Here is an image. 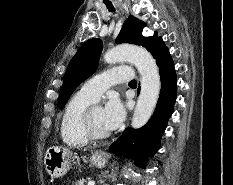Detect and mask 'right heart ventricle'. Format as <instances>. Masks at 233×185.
Here are the masks:
<instances>
[{"mask_svg": "<svg viewBox=\"0 0 233 185\" xmlns=\"http://www.w3.org/2000/svg\"><path fill=\"white\" fill-rule=\"evenodd\" d=\"M93 102V100L78 92L66 104L61 116L60 134L67 146L78 148L87 145L89 142L82 127V116Z\"/></svg>", "mask_w": 233, "mask_h": 185, "instance_id": "right-heart-ventricle-1", "label": "right heart ventricle"}]
</instances>
